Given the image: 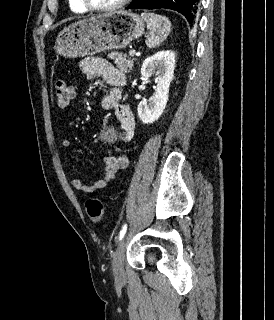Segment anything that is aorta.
<instances>
[{
  "mask_svg": "<svg viewBox=\"0 0 274 320\" xmlns=\"http://www.w3.org/2000/svg\"><path fill=\"white\" fill-rule=\"evenodd\" d=\"M108 133L110 134V137H111L112 139L115 137V131H114V129H110V130L108 131Z\"/></svg>",
  "mask_w": 274,
  "mask_h": 320,
  "instance_id": "762f6f07",
  "label": "aorta"
}]
</instances>
